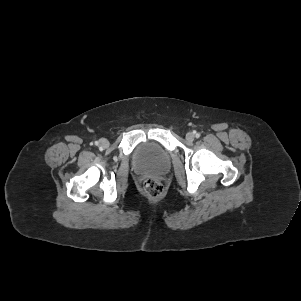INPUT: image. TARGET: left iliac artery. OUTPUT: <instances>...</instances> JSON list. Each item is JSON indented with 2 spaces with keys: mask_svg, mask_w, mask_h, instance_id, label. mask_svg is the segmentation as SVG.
Wrapping results in <instances>:
<instances>
[{
  "mask_svg": "<svg viewBox=\"0 0 301 301\" xmlns=\"http://www.w3.org/2000/svg\"><path fill=\"white\" fill-rule=\"evenodd\" d=\"M196 137H199V134H198V133L196 134Z\"/></svg>",
  "mask_w": 301,
  "mask_h": 301,
  "instance_id": "left-iliac-artery-1",
  "label": "left iliac artery"
}]
</instances>
